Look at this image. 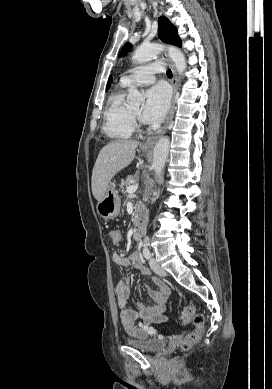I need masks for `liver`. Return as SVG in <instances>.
<instances>
[{"label": "liver", "mask_w": 272, "mask_h": 389, "mask_svg": "<svg viewBox=\"0 0 272 389\" xmlns=\"http://www.w3.org/2000/svg\"><path fill=\"white\" fill-rule=\"evenodd\" d=\"M138 146V141L117 140L100 150L91 179L92 193L97 201L104 197L114 175L134 160Z\"/></svg>", "instance_id": "obj_1"}]
</instances>
